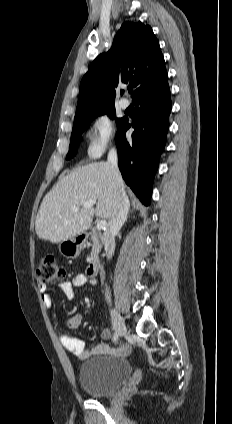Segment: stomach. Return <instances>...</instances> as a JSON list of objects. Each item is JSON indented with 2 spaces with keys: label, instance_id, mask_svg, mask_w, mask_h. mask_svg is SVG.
Wrapping results in <instances>:
<instances>
[{
  "label": "stomach",
  "instance_id": "1",
  "mask_svg": "<svg viewBox=\"0 0 232 424\" xmlns=\"http://www.w3.org/2000/svg\"><path fill=\"white\" fill-rule=\"evenodd\" d=\"M84 242L85 238L81 236L72 237L68 240L60 242L59 251L67 258H76L79 256Z\"/></svg>",
  "mask_w": 232,
  "mask_h": 424
}]
</instances>
